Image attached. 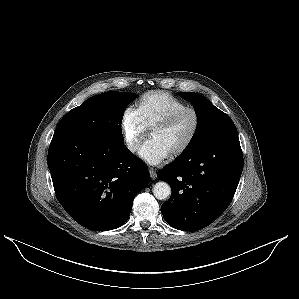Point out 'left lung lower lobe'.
<instances>
[{"instance_id": "1", "label": "left lung lower lobe", "mask_w": 299, "mask_h": 299, "mask_svg": "<svg viewBox=\"0 0 299 299\" xmlns=\"http://www.w3.org/2000/svg\"><path fill=\"white\" fill-rule=\"evenodd\" d=\"M242 170L236 127L199 150L181 154L157 173L172 189L170 199L161 206L164 219L183 231H198L210 225L231 203Z\"/></svg>"}]
</instances>
